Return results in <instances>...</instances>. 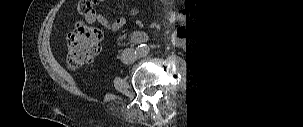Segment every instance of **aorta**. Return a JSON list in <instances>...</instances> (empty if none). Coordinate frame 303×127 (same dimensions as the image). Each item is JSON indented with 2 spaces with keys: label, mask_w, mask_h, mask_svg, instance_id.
I'll list each match as a JSON object with an SVG mask.
<instances>
[{
  "label": "aorta",
  "mask_w": 303,
  "mask_h": 127,
  "mask_svg": "<svg viewBox=\"0 0 303 127\" xmlns=\"http://www.w3.org/2000/svg\"><path fill=\"white\" fill-rule=\"evenodd\" d=\"M137 51H138V54L140 57H145L150 52V46H148L146 44H142L138 47Z\"/></svg>",
  "instance_id": "762f6f07"
}]
</instances>
